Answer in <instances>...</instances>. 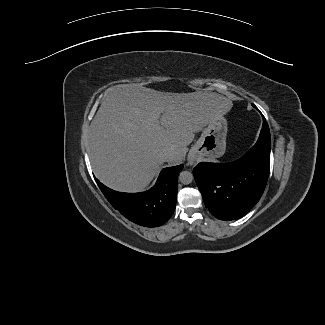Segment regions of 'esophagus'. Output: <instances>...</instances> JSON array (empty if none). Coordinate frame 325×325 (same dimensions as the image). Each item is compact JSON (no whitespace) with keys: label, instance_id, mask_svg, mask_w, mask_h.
<instances>
[{"label":"esophagus","instance_id":"obj_1","mask_svg":"<svg viewBox=\"0 0 325 325\" xmlns=\"http://www.w3.org/2000/svg\"><path fill=\"white\" fill-rule=\"evenodd\" d=\"M189 162L192 163L194 160L192 158H188Z\"/></svg>","mask_w":325,"mask_h":325}]
</instances>
